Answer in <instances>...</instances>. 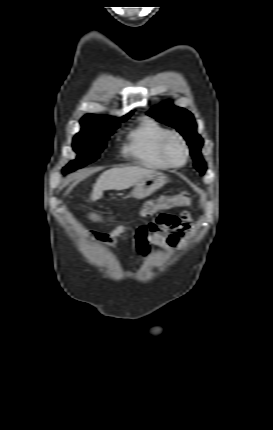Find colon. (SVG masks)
<instances>
[{"label": "colon", "instance_id": "1", "mask_svg": "<svg viewBox=\"0 0 273 430\" xmlns=\"http://www.w3.org/2000/svg\"><path fill=\"white\" fill-rule=\"evenodd\" d=\"M192 204V196L188 192H180L175 195H163L158 199L150 200L144 203L137 211V214L142 218H149L155 215L160 209L173 207H186ZM91 219L103 220V217L98 213H90Z\"/></svg>", "mask_w": 273, "mask_h": 430}]
</instances>
